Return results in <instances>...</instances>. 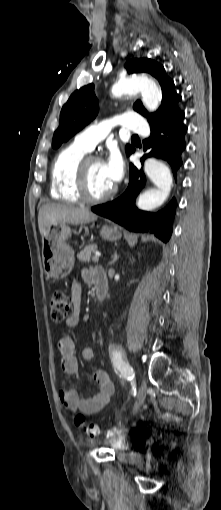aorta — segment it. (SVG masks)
<instances>
[{
    "label": "aorta",
    "mask_w": 221,
    "mask_h": 510,
    "mask_svg": "<svg viewBox=\"0 0 221 510\" xmlns=\"http://www.w3.org/2000/svg\"><path fill=\"white\" fill-rule=\"evenodd\" d=\"M111 92L114 97L140 92L143 104L149 111H155L161 102V92L156 83L144 75H132L119 79L113 85ZM144 171L156 188L144 191L139 196L137 206L141 210L150 211L161 206L168 198L173 179L169 168L155 158L145 161Z\"/></svg>",
    "instance_id": "obj_1"
}]
</instances>
